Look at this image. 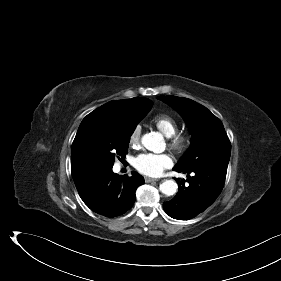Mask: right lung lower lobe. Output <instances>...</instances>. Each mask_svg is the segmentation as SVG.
Wrapping results in <instances>:
<instances>
[{
	"label": "right lung lower lobe",
	"mask_w": 281,
	"mask_h": 281,
	"mask_svg": "<svg viewBox=\"0 0 281 281\" xmlns=\"http://www.w3.org/2000/svg\"><path fill=\"white\" fill-rule=\"evenodd\" d=\"M84 203L95 213L115 217L134 204L136 189L145 183L136 172L124 177L114 174L112 167H99L73 178Z\"/></svg>",
	"instance_id": "98d812e1"
}]
</instances>
